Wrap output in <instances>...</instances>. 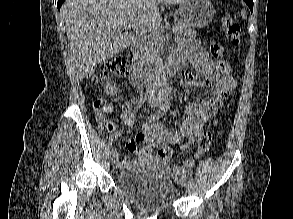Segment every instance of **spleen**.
Listing matches in <instances>:
<instances>
[{
  "instance_id": "spleen-1",
  "label": "spleen",
  "mask_w": 293,
  "mask_h": 219,
  "mask_svg": "<svg viewBox=\"0 0 293 219\" xmlns=\"http://www.w3.org/2000/svg\"><path fill=\"white\" fill-rule=\"evenodd\" d=\"M241 16L243 19H246L247 18V14H246V11L245 10H242L241 11Z\"/></svg>"
}]
</instances>
